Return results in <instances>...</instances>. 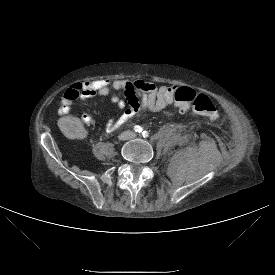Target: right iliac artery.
Segmentation results:
<instances>
[{"label": "right iliac artery", "instance_id": "82829eb1", "mask_svg": "<svg viewBox=\"0 0 275 275\" xmlns=\"http://www.w3.org/2000/svg\"><path fill=\"white\" fill-rule=\"evenodd\" d=\"M134 131L137 132V133H140V132H142V128L137 125V126L134 127Z\"/></svg>", "mask_w": 275, "mask_h": 275}]
</instances>
